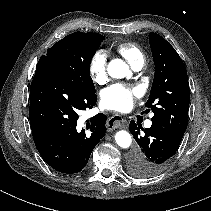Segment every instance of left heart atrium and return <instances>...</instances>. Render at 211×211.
<instances>
[{
    "label": "left heart atrium",
    "instance_id": "1",
    "mask_svg": "<svg viewBox=\"0 0 211 211\" xmlns=\"http://www.w3.org/2000/svg\"><path fill=\"white\" fill-rule=\"evenodd\" d=\"M139 95L137 87L113 84L101 92V104L106 109L124 112L132 108Z\"/></svg>",
    "mask_w": 211,
    "mask_h": 211
}]
</instances>
